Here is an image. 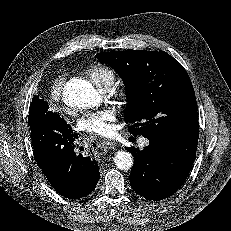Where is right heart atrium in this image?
Segmentation results:
<instances>
[{"instance_id": "right-heart-atrium-1", "label": "right heart atrium", "mask_w": 231, "mask_h": 231, "mask_svg": "<svg viewBox=\"0 0 231 231\" xmlns=\"http://www.w3.org/2000/svg\"><path fill=\"white\" fill-rule=\"evenodd\" d=\"M65 81L66 77L64 75H59L54 79L51 87V95L54 100H59L61 98Z\"/></svg>"}]
</instances>
